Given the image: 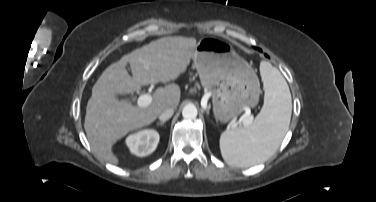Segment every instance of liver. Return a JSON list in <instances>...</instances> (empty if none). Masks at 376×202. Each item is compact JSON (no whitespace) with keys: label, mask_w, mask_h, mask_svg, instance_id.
Returning <instances> with one entry per match:
<instances>
[{"label":"liver","mask_w":376,"mask_h":202,"mask_svg":"<svg viewBox=\"0 0 376 202\" xmlns=\"http://www.w3.org/2000/svg\"><path fill=\"white\" fill-rule=\"evenodd\" d=\"M197 41L182 36L152 41L108 66L92 88L84 128L93 151L103 160L118 164L113 145L128 132L151 124L164 110L176 109L180 88L169 84L156 89L148 106L136 107L115 94H132L141 87L167 83L184 73ZM130 64L133 77L126 69Z\"/></svg>","instance_id":"liver-1"}]
</instances>
